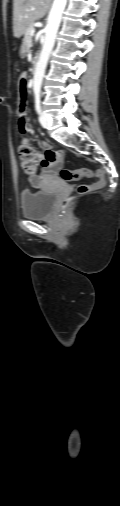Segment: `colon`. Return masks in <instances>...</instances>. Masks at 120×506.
<instances>
[{
	"label": "colon",
	"instance_id": "obj_1",
	"mask_svg": "<svg viewBox=\"0 0 120 506\" xmlns=\"http://www.w3.org/2000/svg\"><path fill=\"white\" fill-rule=\"evenodd\" d=\"M16 78L18 80H25L27 78V71L25 69H18L16 71ZM20 94L18 97V108H17V118H18V124L20 127V131L22 133L25 132V124H26V106H27V99L24 91L23 83L21 82L19 85ZM18 154L21 162L22 169L25 173L29 175H34L37 170V166L39 165V157L40 154L36 151V149L27 141L24 140L18 149ZM49 159H53L52 156H48ZM60 176L67 181L76 180L79 178H87L92 176V172L89 169L83 168L79 170H70V169H62L60 171ZM96 176L98 178V181L89 186V185H80L78 187V193L80 195L87 194L93 190H99L102 189L105 184V173L103 170H97ZM72 201V198H66L62 202V206L66 207L70 202Z\"/></svg>",
	"mask_w": 120,
	"mask_h": 506
}]
</instances>
